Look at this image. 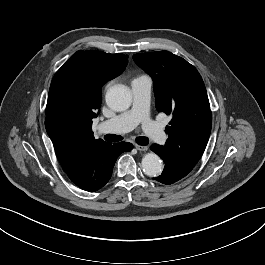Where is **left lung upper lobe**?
Segmentation results:
<instances>
[{"instance_id":"obj_1","label":"left lung upper lobe","mask_w":265,"mask_h":265,"mask_svg":"<svg viewBox=\"0 0 265 265\" xmlns=\"http://www.w3.org/2000/svg\"><path fill=\"white\" fill-rule=\"evenodd\" d=\"M133 59L153 78L157 110L173 117L165 128V160L188 174L201 158L211 132L204 82L194 66L168 51L135 54Z\"/></svg>"}]
</instances>
